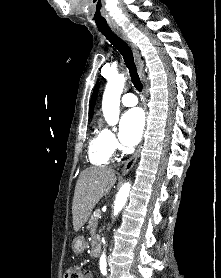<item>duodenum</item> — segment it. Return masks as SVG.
Segmentation results:
<instances>
[{
    "mask_svg": "<svg viewBox=\"0 0 221 278\" xmlns=\"http://www.w3.org/2000/svg\"><path fill=\"white\" fill-rule=\"evenodd\" d=\"M101 251V244L96 241L93 246H92V256L93 257H98Z\"/></svg>",
    "mask_w": 221,
    "mask_h": 278,
    "instance_id": "410a0bca",
    "label": "duodenum"
}]
</instances>
